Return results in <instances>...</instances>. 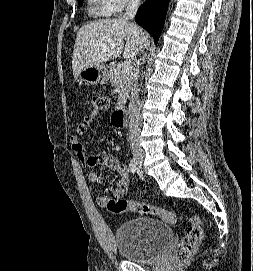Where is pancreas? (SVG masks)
<instances>
[{"label":"pancreas","instance_id":"obj_1","mask_svg":"<svg viewBox=\"0 0 253 271\" xmlns=\"http://www.w3.org/2000/svg\"><path fill=\"white\" fill-rule=\"evenodd\" d=\"M121 64L111 63L109 68L110 83L116 87V91L119 94L116 107H123L126 103L127 97L130 92L131 85L134 80V73H123L120 70Z\"/></svg>","mask_w":253,"mask_h":271}]
</instances>
